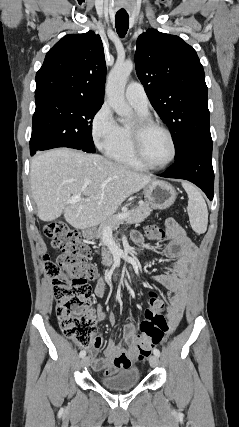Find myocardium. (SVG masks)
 Listing matches in <instances>:
<instances>
[{"mask_svg":"<svg viewBox=\"0 0 239 427\" xmlns=\"http://www.w3.org/2000/svg\"><path fill=\"white\" fill-rule=\"evenodd\" d=\"M151 129H159L163 131L169 138L172 145V155L168 161L160 165H154L150 163L143 151L144 137L145 134ZM130 141L132 151L136 159L148 169L158 170L169 166L177 156V143L172 132L164 125L154 121L148 116L138 115L132 125L129 126Z\"/></svg>","mask_w":239,"mask_h":427,"instance_id":"myocardium-1","label":"myocardium"}]
</instances>
